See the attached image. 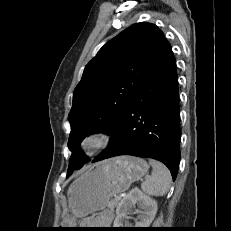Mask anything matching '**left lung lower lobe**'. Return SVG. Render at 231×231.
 I'll use <instances>...</instances> for the list:
<instances>
[{
	"mask_svg": "<svg viewBox=\"0 0 231 231\" xmlns=\"http://www.w3.org/2000/svg\"><path fill=\"white\" fill-rule=\"evenodd\" d=\"M110 134L109 146L93 162L119 155L153 158L163 162L176 179L179 92L176 61L167 40Z\"/></svg>",
	"mask_w": 231,
	"mask_h": 231,
	"instance_id": "left-lung-lower-lobe-1",
	"label": "left lung lower lobe"
}]
</instances>
